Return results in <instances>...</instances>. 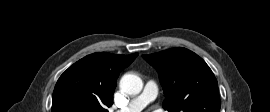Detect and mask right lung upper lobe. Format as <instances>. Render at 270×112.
Here are the masks:
<instances>
[{
	"label": "right lung upper lobe",
	"instance_id": "cb5924a9",
	"mask_svg": "<svg viewBox=\"0 0 270 112\" xmlns=\"http://www.w3.org/2000/svg\"><path fill=\"white\" fill-rule=\"evenodd\" d=\"M138 53L115 55L93 53L74 63L56 83L52 112H66L76 105L84 112H108L119 73L128 67Z\"/></svg>",
	"mask_w": 270,
	"mask_h": 112
}]
</instances>
